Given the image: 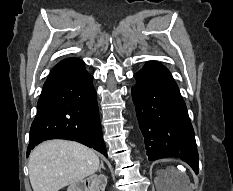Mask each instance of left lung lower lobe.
I'll return each mask as SVG.
<instances>
[{
  "label": "left lung lower lobe",
  "instance_id": "1",
  "mask_svg": "<svg viewBox=\"0 0 233 191\" xmlns=\"http://www.w3.org/2000/svg\"><path fill=\"white\" fill-rule=\"evenodd\" d=\"M131 88L149 160L177 157L198 174V152L185 102L169 70L150 61Z\"/></svg>",
  "mask_w": 233,
  "mask_h": 191
}]
</instances>
